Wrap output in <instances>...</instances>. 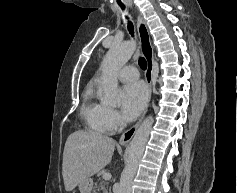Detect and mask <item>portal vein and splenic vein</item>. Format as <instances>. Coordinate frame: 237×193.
Returning a JSON list of instances; mask_svg holds the SVG:
<instances>
[{"instance_id": "1", "label": "portal vein and splenic vein", "mask_w": 237, "mask_h": 193, "mask_svg": "<svg viewBox=\"0 0 237 193\" xmlns=\"http://www.w3.org/2000/svg\"><path fill=\"white\" fill-rule=\"evenodd\" d=\"M103 179H104V180H110V179H111V174H110L109 172L105 173V174L103 175Z\"/></svg>"}]
</instances>
